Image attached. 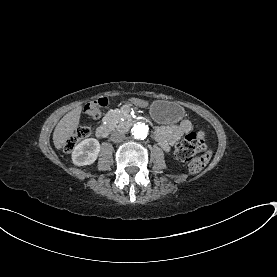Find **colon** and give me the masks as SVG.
<instances>
[{"label":"colon","mask_w":277,"mask_h":277,"mask_svg":"<svg viewBox=\"0 0 277 277\" xmlns=\"http://www.w3.org/2000/svg\"><path fill=\"white\" fill-rule=\"evenodd\" d=\"M109 105V99L104 96L93 98L85 104L84 112L90 117H96ZM89 135V127L80 128L66 141L64 150H70L77 142L87 139ZM211 152V146L207 142L206 135L203 131L192 133L185 139L180 140L175 150L177 159L186 162L187 168L191 173H199L204 169L211 157ZM197 153H201L202 155L196 157Z\"/></svg>","instance_id":"colon-1"}]
</instances>
